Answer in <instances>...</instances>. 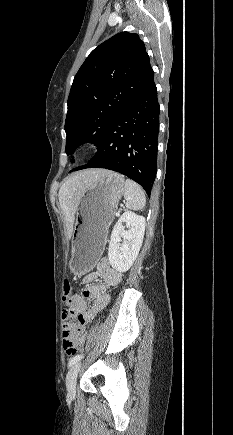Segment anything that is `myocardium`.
<instances>
[{
    "label": "myocardium",
    "mask_w": 233,
    "mask_h": 435,
    "mask_svg": "<svg viewBox=\"0 0 233 435\" xmlns=\"http://www.w3.org/2000/svg\"><path fill=\"white\" fill-rule=\"evenodd\" d=\"M87 153V149L86 148H81L77 153V157H82Z\"/></svg>",
    "instance_id": "1"
}]
</instances>
